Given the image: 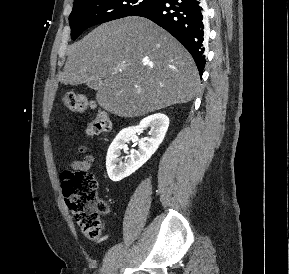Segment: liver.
Segmentation results:
<instances>
[{"instance_id":"1","label":"liver","mask_w":289,"mask_h":274,"mask_svg":"<svg viewBox=\"0 0 289 274\" xmlns=\"http://www.w3.org/2000/svg\"><path fill=\"white\" fill-rule=\"evenodd\" d=\"M58 80L94 84L96 101L119 117H138L193 99L200 78L189 52L148 19L101 24L68 48Z\"/></svg>"}]
</instances>
